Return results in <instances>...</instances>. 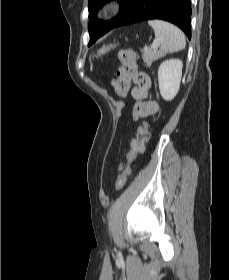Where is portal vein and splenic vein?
Here are the masks:
<instances>
[{"label": "portal vein and splenic vein", "mask_w": 229, "mask_h": 280, "mask_svg": "<svg viewBox=\"0 0 229 280\" xmlns=\"http://www.w3.org/2000/svg\"><path fill=\"white\" fill-rule=\"evenodd\" d=\"M158 46H159V42H158V41H154V42L152 43V45H151V48L155 50V49L158 48Z\"/></svg>", "instance_id": "1"}]
</instances>
